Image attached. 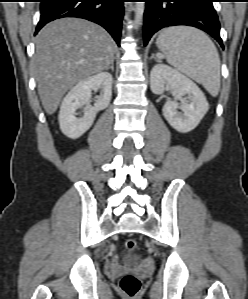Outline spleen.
<instances>
[{"label":"spleen","instance_id":"1","mask_svg":"<svg viewBox=\"0 0 248 299\" xmlns=\"http://www.w3.org/2000/svg\"><path fill=\"white\" fill-rule=\"evenodd\" d=\"M167 62L202 84L216 97L220 90V58L216 46L201 30L188 26L163 29L156 41Z\"/></svg>","mask_w":248,"mask_h":299}]
</instances>
